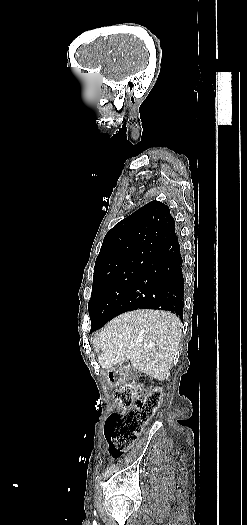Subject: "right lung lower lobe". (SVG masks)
I'll list each match as a JSON object with an SVG mask.
<instances>
[{
	"instance_id": "1",
	"label": "right lung lower lobe",
	"mask_w": 247,
	"mask_h": 525,
	"mask_svg": "<svg viewBox=\"0 0 247 525\" xmlns=\"http://www.w3.org/2000/svg\"><path fill=\"white\" fill-rule=\"evenodd\" d=\"M150 260L116 310V315L139 308L168 310L182 319L184 280L178 237L151 254ZM91 328V332L100 328Z\"/></svg>"
}]
</instances>
